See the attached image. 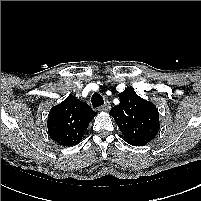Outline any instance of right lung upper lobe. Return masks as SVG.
Instances as JSON below:
<instances>
[{
  "mask_svg": "<svg viewBox=\"0 0 201 201\" xmlns=\"http://www.w3.org/2000/svg\"><path fill=\"white\" fill-rule=\"evenodd\" d=\"M96 112L85 102L69 95L60 104L51 108L48 115V134L60 145H77Z\"/></svg>",
  "mask_w": 201,
  "mask_h": 201,
  "instance_id": "right-lung-upper-lobe-1",
  "label": "right lung upper lobe"
}]
</instances>
